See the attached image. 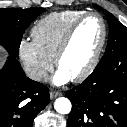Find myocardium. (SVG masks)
Wrapping results in <instances>:
<instances>
[{"instance_id": "obj_1", "label": "myocardium", "mask_w": 127, "mask_h": 127, "mask_svg": "<svg viewBox=\"0 0 127 127\" xmlns=\"http://www.w3.org/2000/svg\"><path fill=\"white\" fill-rule=\"evenodd\" d=\"M90 17H97L100 20L101 25H102V37H101V41H100V44H99L97 50L95 51L93 57L91 58V60L87 64V66L81 72H79L77 75L71 77V79L74 81H82V80L86 79L96 68V66L99 62V59L101 57V54L104 50L106 40H107V24H106L105 19L97 12H85L78 19H76L72 23V25L69 27V29L65 33L57 51H56V54L54 56L55 65L57 68H59L60 62H61L62 58L64 57L65 53L67 52L78 27L87 18H90Z\"/></svg>"}]
</instances>
